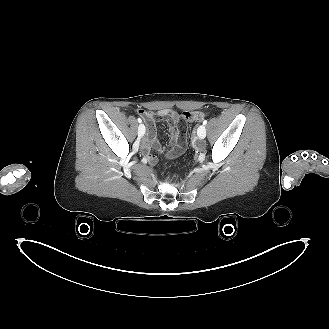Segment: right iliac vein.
<instances>
[{"instance_id":"right-iliac-vein-1","label":"right iliac vein","mask_w":329,"mask_h":329,"mask_svg":"<svg viewBox=\"0 0 329 329\" xmlns=\"http://www.w3.org/2000/svg\"><path fill=\"white\" fill-rule=\"evenodd\" d=\"M145 134V126L143 124H140L138 127V136L142 137Z\"/></svg>"}]
</instances>
